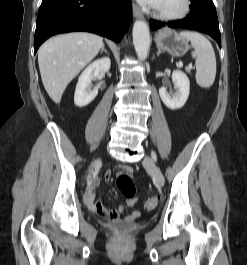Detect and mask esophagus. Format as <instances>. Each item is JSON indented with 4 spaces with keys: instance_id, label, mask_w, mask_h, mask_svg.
<instances>
[{
    "instance_id": "esophagus-1",
    "label": "esophagus",
    "mask_w": 247,
    "mask_h": 265,
    "mask_svg": "<svg viewBox=\"0 0 247 265\" xmlns=\"http://www.w3.org/2000/svg\"><path fill=\"white\" fill-rule=\"evenodd\" d=\"M133 15L136 18H143V13L141 9L135 3H133Z\"/></svg>"
}]
</instances>
